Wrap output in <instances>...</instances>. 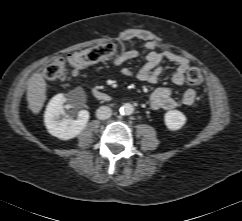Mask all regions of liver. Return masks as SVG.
Wrapping results in <instances>:
<instances>
[{
	"label": "liver",
	"instance_id": "1",
	"mask_svg": "<svg viewBox=\"0 0 242 221\" xmlns=\"http://www.w3.org/2000/svg\"><path fill=\"white\" fill-rule=\"evenodd\" d=\"M46 82L42 73H34L28 80L27 101L29 109L38 114L47 99Z\"/></svg>",
	"mask_w": 242,
	"mask_h": 221
}]
</instances>
